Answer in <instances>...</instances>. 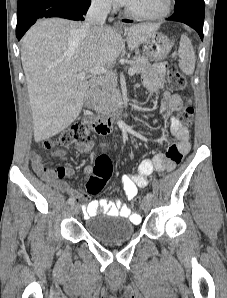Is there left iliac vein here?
<instances>
[{"label": "left iliac vein", "instance_id": "left-iliac-vein-1", "mask_svg": "<svg viewBox=\"0 0 227 298\" xmlns=\"http://www.w3.org/2000/svg\"><path fill=\"white\" fill-rule=\"evenodd\" d=\"M142 209L145 212H148L151 209V200L149 198H145L142 202Z\"/></svg>", "mask_w": 227, "mask_h": 298}]
</instances>
